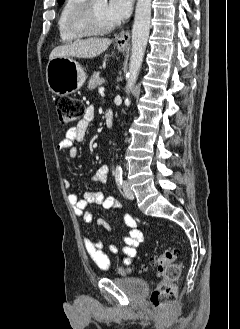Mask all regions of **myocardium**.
I'll return each instance as SVG.
<instances>
[{"mask_svg": "<svg viewBox=\"0 0 240 329\" xmlns=\"http://www.w3.org/2000/svg\"><path fill=\"white\" fill-rule=\"evenodd\" d=\"M94 0H84L70 18V27L78 35H95L112 31L115 24H101L93 8Z\"/></svg>", "mask_w": 240, "mask_h": 329, "instance_id": "myocardium-1", "label": "myocardium"}]
</instances>
